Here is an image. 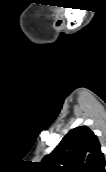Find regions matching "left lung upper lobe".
Returning <instances> with one entry per match:
<instances>
[{
	"instance_id": "5c2ea615",
	"label": "left lung upper lobe",
	"mask_w": 106,
	"mask_h": 172,
	"mask_svg": "<svg viewBox=\"0 0 106 172\" xmlns=\"http://www.w3.org/2000/svg\"><path fill=\"white\" fill-rule=\"evenodd\" d=\"M39 165L43 172H106L97 136L87 126L72 129Z\"/></svg>"
}]
</instances>
